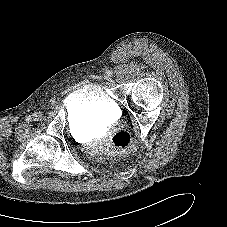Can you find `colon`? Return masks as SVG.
Listing matches in <instances>:
<instances>
[{
  "instance_id": "colon-1",
  "label": "colon",
  "mask_w": 227,
  "mask_h": 227,
  "mask_svg": "<svg viewBox=\"0 0 227 227\" xmlns=\"http://www.w3.org/2000/svg\"><path fill=\"white\" fill-rule=\"evenodd\" d=\"M130 146V135L127 132H118L109 139L103 141L101 149L107 153L119 154L128 150Z\"/></svg>"
}]
</instances>
